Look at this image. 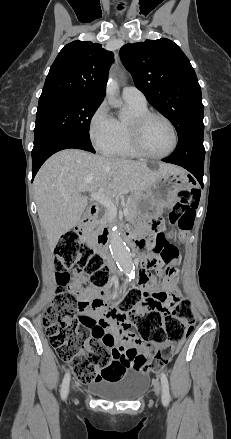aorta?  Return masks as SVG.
I'll return each mask as SVG.
<instances>
[{"mask_svg":"<svg viewBox=\"0 0 231 439\" xmlns=\"http://www.w3.org/2000/svg\"><path fill=\"white\" fill-rule=\"evenodd\" d=\"M118 88L119 87L116 79L110 76L106 87V97L111 105H116L118 103L116 99ZM110 250L112 257L116 261L119 268L127 276H132L135 269L132 255L117 229L113 230L110 234Z\"/></svg>","mask_w":231,"mask_h":439,"instance_id":"762f6f07","label":"aorta"}]
</instances>
